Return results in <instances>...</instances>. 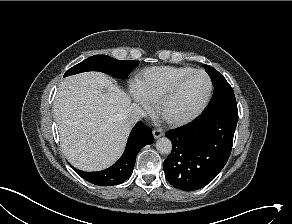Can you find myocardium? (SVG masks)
<instances>
[{"instance_id":"myocardium-1","label":"myocardium","mask_w":292,"mask_h":224,"mask_svg":"<svg viewBox=\"0 0 292 224\" xmlns=\"http://www.w3.org/2000/svg\"><path fill=\"white\" fill-rule=\"evenodd\" d=\"M196 74H203L206 76L207 80H208V92L207 95L205 97V99L203 100V102L200 104V106L190 115L180 118V119H167L163 116V109L165 107V105L178 93V91L180 90V88L182 87V85L193 75ZM213 81L211 76L202 69H195L187 74H185L184 76H182L181 78H179L165 93H163L160 98L157 100L156 103V113L158 115V117L163 120V122H165L167 125L172 126V127H179V126H183L186 125L190 122H192L193 120H195L199 115L202 114V112L206 109V107L208 106L212 94H213Z\"/></svg>"}]
</instances>
